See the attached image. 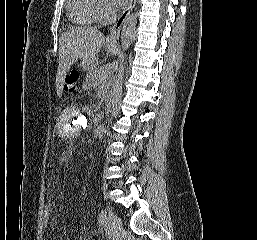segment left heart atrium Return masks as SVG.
Returning <instances> with one entry per match:
<instances>
[{"label":"left heart atrium","mask_w":257,"mask_h":240,"mask_svg":"<svg viewBox=\"0 0 257 240\" xmlns=\"http://www.w3.org/2000/svg\"><path fill=\"white\" fill-rule=\"evenodd\" d=\"M112 4L116 7H124L126 6L130 0H111Z\"/></svg>","instance_id":"39dd6f15"}]
</instances>
